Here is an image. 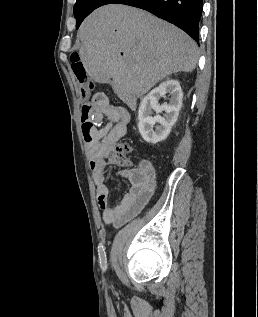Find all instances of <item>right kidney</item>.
<instances>
[{
    "mask_svg": "<svg viewBox=\"0 0 258 317\" xmlns=\"http://www.w3.org/2000/svg\"><path fill=\"white\" fill-rule=\"evenodd\" d=\"M169 92V102L159 104L158 100L161 96H165ZM183 92L178 80L168 78L161 82L159 86L153 88L149 94L142 98L138 110V128L142 138L147 142H160L167 138L174 122H176L182 106ZM153 110L157 112L152 116ZM165 110V114L161 116L159 112ZM159 122V124H156ZM156 124V126H154ZM155 128V130H153Z\"/></svg>",
    "mask_w": 258,
    "mask_h": 317,
    "instance_id": "right-kidney-1",
    "label": "right kidney"
}]
</instances>
